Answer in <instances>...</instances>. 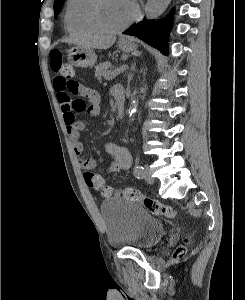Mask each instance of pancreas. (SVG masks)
Returning <instances> with one entry per match:
<instances>
[{
  "mask_svg": "<svg viewBox=\"0 0 245 300\" xmlns=\"http://www.w3.org/2000/svg\"><path fill=\"white\" fill-rule=\"evenodd\" d=\"M110 67L111 65L109 62L100 63L95 68V77L99 80H101L102 78L109 79L110 73L112 72L111 70H109Z\"/></svg>",
  "mask_w": 245,
  "mask_h": 300,
  "instance_id": "obj_1",
  "label": "pancreas"
}]
</instances>
